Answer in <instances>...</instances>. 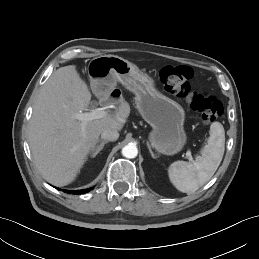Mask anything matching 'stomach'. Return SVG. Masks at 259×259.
Masks as SVG:
<instances>
[{
	"label": "stomach",
	"instance_id": "1",
	"mask_svg": "<svg viewBox=\"0 0 259 259\" xmlns=\"http://www.w3.org/2000/svg\"><path fill=\"white\" fill-rule=\"evenodd\" d=\"M87 71L96 94L110 92L117 82L134 93L138 112L152 127L149 142L153 148L165 155L181 151L187 140L184 109L160 93L151 77L128 60L114 55L93 58Z\"/></svg>",
	"mask_w": 259,
	"mask_h": 259
}]
</instances>
